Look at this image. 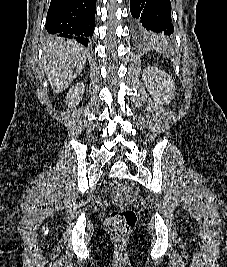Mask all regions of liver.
<instances>
[{"mask_svg": "<svg viewBox=\"0 0 227 267\" xmlns=\"http://www.w3.org/2000/svg\"><path fill=\"white\" fill-rule=\"evenodd\" d=\"M42 62L55 93L67 89L86 64V49L79 43L51 38L44 47Z\"/></svg>", "mask_w": 227, "mask_h": 267, "instance_id": "liver-1", "label": "liver"}]
</instances>
